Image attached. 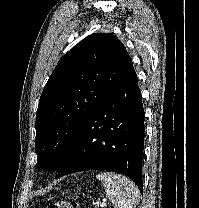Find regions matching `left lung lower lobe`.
<instances>
[{"instance_id":"1","label":"left lung lower lobe","mask_w":199,"mask_h":208,"mask_svg":"<svg viewBox=\"0 0 199 208\" xmlns=\"http://www.w3.org/2000/svg\"><path fill=\"white\" fill-rule=\"evenodd\" d=\"M144 109L132 67L91 113L57 178L85 170L114 171L130 177L142 193Z\"/></svg>"}]
</instances>
